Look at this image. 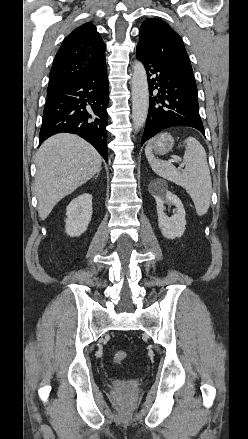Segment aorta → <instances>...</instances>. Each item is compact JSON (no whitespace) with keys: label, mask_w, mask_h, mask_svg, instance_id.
I'll list each match as a JSON object with an SVG mask.
<instances>
[{"label":"aorta","mask_w":248,"mask_h":439,"mask_svg":"<svg viewBox=\"0 0 248 439\" xmlns=\"http://www.w3.org/2000/svg\"><path fill=\"white\" fill-rule=\"evenodd\" d=\"M131 92L132 121L135 131H138L146 122L149 108L147 74L144 65L140 61H136L133 65Z\"/></svg>","instance_id":"762f6f07"}]
</instances>
